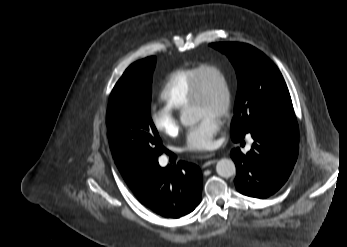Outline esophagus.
Instances as JSON below:
<instances>
[{
  "label": "esophagus",
  "mask_w": 347,
  "mask_h": 247,
  "mask_svg": "<svg viewBox=\"0 0 347 247\" xmlns=\"http://www.w3.org/2000/svg\"><path fill=\"white\" fill-rule=\"evenodd\" d=\"M214 156H215V153H209V154L205 155L204 158H206L208 160H206L204 162L203 167H208V166H210L212 164H215L217 162V160L216 159H210V158H212Z\"/></svg>",
  "instance_id": "esophagus-1"
}]
</instances>
